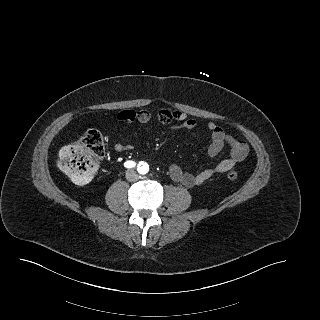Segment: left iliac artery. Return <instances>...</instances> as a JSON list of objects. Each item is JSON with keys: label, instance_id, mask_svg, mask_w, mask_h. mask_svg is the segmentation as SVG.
<instances>
[{"label": "left iliac artery", "instance_id": "1", "mask_svg": "<svg viewBox=\"0 0 320 320\" xmlns=\"http://www.w3.org/2000/svg\"><path fill=\"white\" fill-rule=\"evenodd\" d=\"M149 170V166L146 163L141 162L138 168L140 173H146Z\"/></svg>", "mask_w": 320, "mask_h": 320}]
</instances>
